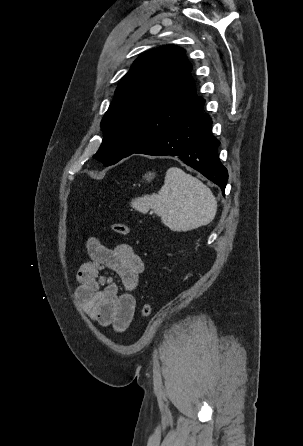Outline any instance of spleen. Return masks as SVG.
Wrapping results in <instances>:
<instances>
[{
  "mask_svg": "<svg viewBox=\"0 0 303 446\" xmlns=\"http://www.w3.org/2000/svg\"><path fill=\"white\" fill-rule=\"evenodd\" d=\"M131 206L141 213L153 210L165 226L177 232L209 224L217 211L211 190L178 167L167 170L157 194L135 198Z\"/></svg>",
  "mask_w": 303,
  "mask_h": 446,
  "instance_id": "1",
  "label": "spleen"
}]
</instances>
